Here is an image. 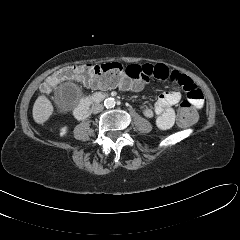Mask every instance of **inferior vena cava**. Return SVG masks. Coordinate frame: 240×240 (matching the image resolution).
<instances>
[{
	"label": "inferior vena cava",
	"instance_id": "1",
	"mask_svg": "<svg viewBox=\"0 0 240 240\" xmlns=\"http://www.w3.org/2000/svg\"><path fill=\"white\" fill-rule=\"evenodd\" d=\"M102 110H103V106L101 104H97L92 107V112L94 114H97V113L101 112Z\"/></svg>",
	"mask_w": 240,
	"mask_h": 240
}]
</instances>
